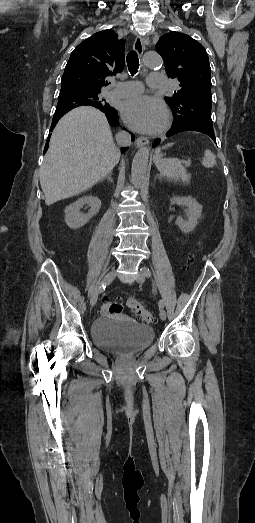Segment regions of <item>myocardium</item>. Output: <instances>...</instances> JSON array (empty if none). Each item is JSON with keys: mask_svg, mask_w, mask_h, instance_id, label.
<instances>
[{"mask_svg": "<svg viewBox=\"0 0 255 523\" xmlns=\"http://www.w3.org/2000/svg\"><path fill=\"white\" fill-rule=\"evenodd\" d=\"M171 122H172V115H171V113L168 111V112L166 113V117H165V120H164L163 130H166V129L170 126Z\"/></svg>", "mask_w": 255, "mask_h": 523, "instance_id": "f54148a6", "label": "myocardium"}]
</instances>
